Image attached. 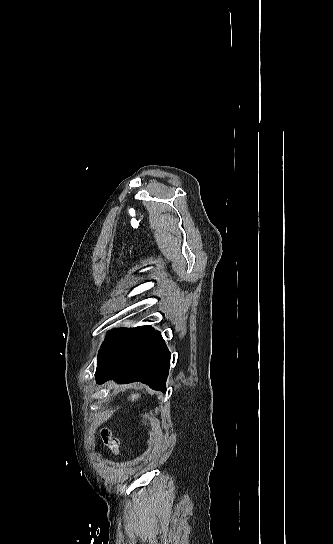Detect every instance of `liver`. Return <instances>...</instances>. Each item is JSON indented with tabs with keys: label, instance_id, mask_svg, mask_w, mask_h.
Masks as SVG:
<instances>
[{
	"label": "liver",
	"instance_id": "obj_1",
	"mask_svg": "<svg viewBox=\"0 0 333 544\" xmlns=\"http://www.w3.org/2000/svg\"><path fill=\"white\" fill-rule=\"evenodd\" d=\"M139 397H140V395L137 394V393H135V394H132V395L129 397V399L132 400V401H134V400H137Z\"/></svg>",
	"mask_w": 333,
	"mask_h": 544
}]
</instances>
